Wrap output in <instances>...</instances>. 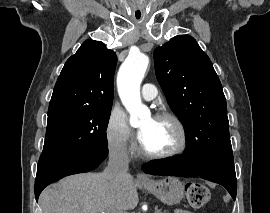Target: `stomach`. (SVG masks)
<instances>
[{"instance_id": "0dacf381", "label": "stomach", "mask_w": 270, "mask_h": 213, "mask_svg": "<svg viewBox=\"0 0 270 213\" xmlns=\"http://www.w3.org/2000/svg\"><path fill=\"white\" fill-rule=\"evenodd\" d=\"M143 186L167 205L179 203L184 195V184L176 177L152 180Z\"/></svg>"}]
</instances>
